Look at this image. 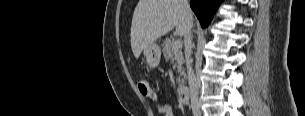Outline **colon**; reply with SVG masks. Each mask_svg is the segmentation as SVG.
I'll list each match as a JSON object with an SVG mask.
<instances>
[{
	"label": "colon",
	"instance_id": "colon-1",
	"mask_svg": "<svg viewBox=\"0 0 305 116\" xmlns=\"http://www.w3.org/2000/svg\"><path fill=\"white\" fill-rule=\"evenodd\" d=\"M137 88L141 96L146 99L148 102L153 104L155 108L158 110L160 99L157 95V93L154 91L150 83L144 79L139 78L137 80Z\"/></svg>",
	"mask_w": 305,
	"mask_h": 116
}]
</instances>
